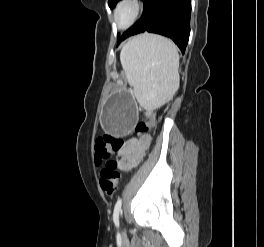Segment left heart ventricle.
Returning a JSON list of instances; mask_svg holds the SVG:
<instances>
[{
	"mask_svg": "<svg viewBox=\"0 0 264 247\" xmlns=\"http://www.w3.org/2000/svg\"><path fill=\"white\" fill-rule=\"evenodd\" d=\"M128 17H129V12L125 10L120 15V21L125 22Z\"/></svg>",
	"mask_w": 264,
	"mask_h": 247,
	"instance_id": "obj_1",
	"label": "left heart ventricle"
}]
</instances>
